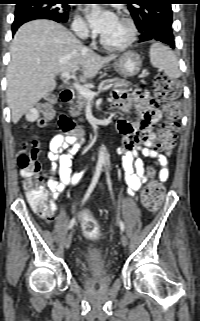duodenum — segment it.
<instances>
[{"label": "duodenum", "mask_w": 200, "mask_h": 321, "mask_svg": "<svg viewBox=\"0 0 200 321\" xmlns=\"http://www.w3.org/2000/svg\"><path fill=\"white\" fill-rule=\"evenodd\" d=\"M74 96V91L71 89H65L60 94L61 101L66 104L71 103L74 99ZM106 123L107 119L103 118L97 121L93 126L86 128L84 126H76L75 123L65 114L61 115L59 118V125L65 132L75 133L77 135H81L87 129H98L106 125Z\"/></svg>", "instance_id": "duodenum-1"}]
</instances>
